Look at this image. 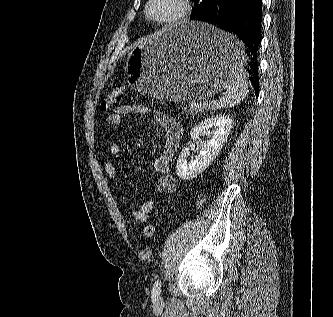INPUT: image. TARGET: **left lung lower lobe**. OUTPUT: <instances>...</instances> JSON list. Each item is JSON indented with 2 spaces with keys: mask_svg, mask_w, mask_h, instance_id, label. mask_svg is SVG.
<instances>
[{
  "mask_svg": "<svg viewBox=\"0 0 333 317\" xmlns=\"http://www.w3.org/2000/svg\"><path fill=\"white\" fill-rule=\"evenodd\" d=\"M191 20L209 23L243 41L251 59L248 62L249 79L258 96L257 52L261 42L262 0H212L205 9L192 15ZM218 52L231 56L224 45L218 48Z\"/></svg>",
  "mask_w": 333,
  "mask_h": 317,
  "instance_id": "1",
  "label": "left lung lower lobe"
}]
</instances>
